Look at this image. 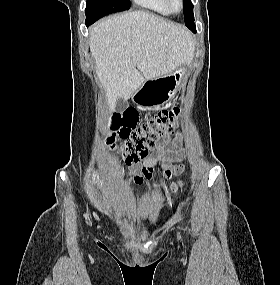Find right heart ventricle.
Here are the masks:
<instances>
[{
	"label": "right heart ventricle",
	"instance_id": "e07e8e85",
	"mask_svg": "<svg viewBox=\"0 0 280 285\" xmlns=\"http://www.w3.org/2000/svg\"><path fill=\"white\" fill-rule=\"evenodd\" d=\"M135 2L149 10L162 15H169L171 11L169 10L165 0H135Z\"/></svg>",
	"mask_w": 280,
	"mask_h": 285
}]
</instances>
